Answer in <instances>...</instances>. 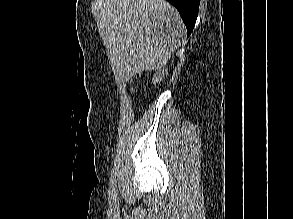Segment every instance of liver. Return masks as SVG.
Wrapping results in <instances>:
<instances>
[{
  "mask_svg": "<svg viewBox=\"0 0 293 219\" xmlns=\"http://www.w3.org/2000/svg\"><path fill=\"white\" fill-rule=\"evenodd\" d=\"M100 22L121 81L161 69L185 33L178 11L165 0H102Z\"/></svg>",
  "mask_w": 293,
  "mask_h": 219,
  "instance_id": "1",
  "label": "liver"
}]
</instances>
